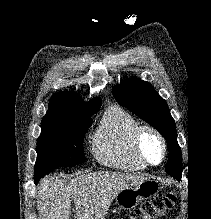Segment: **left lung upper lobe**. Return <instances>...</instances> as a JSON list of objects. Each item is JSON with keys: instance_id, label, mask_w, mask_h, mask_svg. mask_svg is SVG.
I'll return each instance as SVG.
<instances>
[{"instance_id": "1", "label": "left lung upper lobe", "mask_w": 211, "mask_h": 219, "mask_svg": "<svg viewBox=\"0 0 211 219\" xmlns=\"http://www.w3.org/2000/svg\"><path fill=\"white\" fill-rule=\"evenodd\" d=\"M112 91L122 106L130 109L164 136L168 150L175 149L181 153L177 143L175 122L167 103L150 83L132 78L112 87ZM166 172L179 179L182 174V162L176 165L167 163Z\"/></svg>"}]
</instances>
